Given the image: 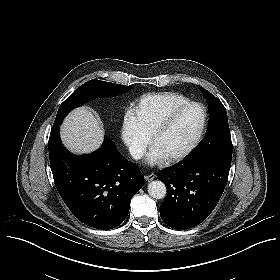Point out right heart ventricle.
<instances>
[{"label":"right heart ventricle","instance_id":"e07e8e85","mask_svg":"<svg viewBox=\"0 0 280 280\" xmlns=\"http://www.w3.org/2000/svg\"><path fill=\"white\" fill-rule=\"evenodd\" d=\"M148 100L158 102L159 106L162 108H178L181 107L187 98L184 95H168V96H148ZM159 121H152L148 125V127L145 128V135H148L151 130L158 124Z\"/></svg>","mask_w":280,"mask_h":280}]
</instances>
